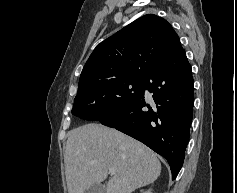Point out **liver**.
<instances>
[{
    "mask_svg": "<svg viewBox=\"0 0 237 193\" xmlns=\"http://www.w3.org/2000/svg\"><path fill=\"white\" fill-rule=\"evenodd\" d=\"M69 193H84L95 183L115 174L104 185L105 193H132L157 180L161 163L141 142L95 123L73 129L64 153Z\"/></svg>",
    "mask_w": 237,
    "mask_h": 193,
    "instance_id": "1",
    "label": "liver"
}]
</instances>
